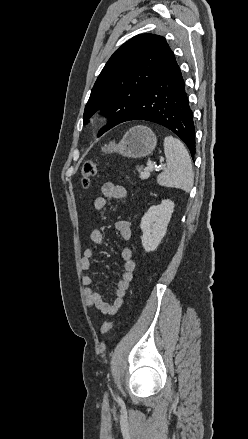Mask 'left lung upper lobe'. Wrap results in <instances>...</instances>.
<instances>
[{"label": "left lung upper lobe", "mask_w": 248, "mask_h": 439, "mask_svg": "<svg viewBox=\"0 0 248 439\" xmlns=\"http://www.w3.org/2000/svg\"><path fill=\"white\" fill-rule=\"evenodd\" d=\"M173 55L159 35L140 34L125 42L97 78L85 106L84 122L98 110L106 113L109 124L98 136L120 124Z\"/></svg>", "instance_id": "left-lung-upper-lobe-1"}]
</instances>
